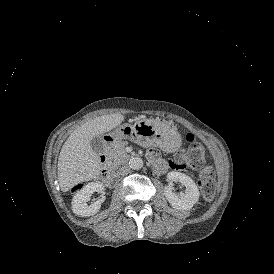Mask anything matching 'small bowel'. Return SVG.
I'll use <instances>...</instances> for the list:
<instances>
[{"mask_svg":"<svg viewBox=\"0 0 274 274\" xmlns=\"http://www.w3.org/2000/svg\"><path fill=\"white\" fill-rule=\"evenodd\" d=\"M147 157L155 172L160 173L159 169L156 166V163L161 160L158 151L154 148L150 149L147 153Z\"/></svg>","mask_w":274,"mask_h":274,"instance_id":"small-bowel-1","label":"small bowel"}]
</instances>
